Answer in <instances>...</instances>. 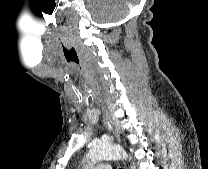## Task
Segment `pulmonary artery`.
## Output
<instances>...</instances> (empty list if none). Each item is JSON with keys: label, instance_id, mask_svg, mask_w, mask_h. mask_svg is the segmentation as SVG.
<instances>
[{"label": "pulmonary artery", "instance_id": "e3ab8cb5", "mask_svg": "<svg viewBox=\"0 0 208 169\" xmlns=\"http://www.w3.org/2000/svg\"><path fill=\"white\" fill-rule=\"evenodd\" d=\"M95 168L96 169H112L108 161H102L101 163L96 165Z\"/></svg>", "mask_w": 208, "mask_h": 169}]
</instances>
